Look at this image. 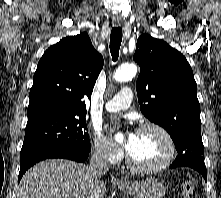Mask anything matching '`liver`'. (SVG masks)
Returning a JSON list of instances; mask_svg holds the SVG:
<instances>
[{"label": "liver", "instance_id": "1", "mask_svg": "<svg viewBox=\"0 0 221 198\" xmlns=\"http://www.w3.org/2000/svg\"><path fill=\"white\" fill-rule=\"evenodd\" d=\"M106 186L89 167L63 159L46 160L22 177L18 198H104Z\"/></svg>", "mask_w": 221, "mask_h": 198}]
</instances>
